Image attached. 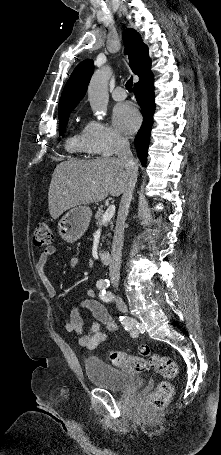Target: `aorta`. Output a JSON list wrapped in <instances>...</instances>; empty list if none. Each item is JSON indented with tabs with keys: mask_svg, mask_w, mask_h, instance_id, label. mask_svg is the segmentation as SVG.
<instances>
[{
	"mask_svg": "<svg viewBox=\"0 0 221 455\" xmlns=\"http://www.w3.org/2000/svg\"><path fill=\"white\" fill-rule=\"evenodd\" d=\"M108 78L109 70L103 68L96 71L88 86V99L90 106L98 118H103L107 112L108 105Z\"/></svg>",
	"mask_w": 221,
	"mask_h": 455,
	"instance_id": "762f6f07",
	"label": "aorta"
}]
</instances>
